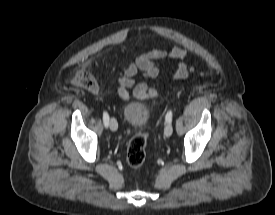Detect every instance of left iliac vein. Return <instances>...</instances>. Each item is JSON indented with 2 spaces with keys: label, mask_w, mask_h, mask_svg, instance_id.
<instances>
[{
  "label": "left iliac vein",
  "mask_w": 275,
  "mask_h": 215,
  "mask_svg": "<svg viewBox=\"0 0 275 215\" xmlns=\"http://www.w3.org/2000/svg\"><path fill=\"white\" fill-rule=\"evenodd\" d=\"M172 132H173V126L170 122L165 126L164 134L166 137H170L172 135Z\"/></svg>",
  "instance_id": "obj_1"
}]
</instances>
